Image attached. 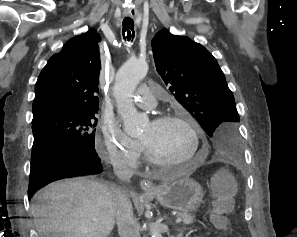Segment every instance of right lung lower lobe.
<instances>
[{
	"label": "right lung lower lobe",
	"instance_id": "1",
	"mask_svg": "<svg viewBox=\"0 0 297 237\" xmlns=\"http://www.w3.org/2000/svg\"><path fill=\"white\" fill-rule=\"evenodd\" d=\"M28 196L40 188L65 178L100 174L103 167L94 150L69 142H53L38 147L31 154Z\"/></svg>",
	"mask_w": 297,
	"mask_h": 237
}]
</instances>
